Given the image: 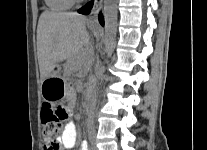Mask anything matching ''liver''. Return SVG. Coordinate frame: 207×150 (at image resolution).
I'll use <instances>...</instances> for the list:
<instances>
[{"label": "liver", "mask_w": 207, "mask_h": 150, "mask_svg": "<svg viewBox=\"0 0 207 150\" xmlns=\"http://www.w3.org/2000/svg\"><path fill=\"white\" fill-rule=\"evenodd\" d=\"M86 18L70 12H44L37 28V52L41 81L54 66L84 51L89 43Z\"/></svg>", "instance_id": "6515ba94"}]
</instances>
